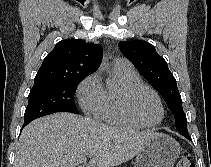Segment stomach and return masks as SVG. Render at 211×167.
Instances as JSON below:
<instances>
[{
    "instance_id": "obj_1",
    "label": "stomach",
    "mask_w": 211,
    "mask_h": 167,
    "mask_svg": "<svg viewBox=\"0 0 211 167\" xmlns=\"http://www.w3.org/2000/svg\"><path fill=\"white\" fill-rule=\"evenodd\" d=\"M180 152L176 140L166 134L155 133L137 154L135 167H173Z\"/></svg>"
}]
</instances>
